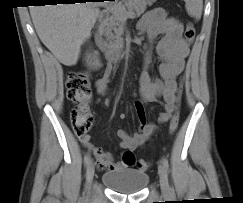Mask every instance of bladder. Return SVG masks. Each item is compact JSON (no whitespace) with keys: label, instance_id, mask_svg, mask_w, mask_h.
<instances>
[{"label":"bladder","instance_id":"31cf9c89","mask_svg":"<svg viewBox=\"0 0 243 203\" xmlns=\"http://www.w3.org/2000/svg\"><path fill=\"white\" fill-rule=\"evenodd\" d=\"M103 183L122 194H134L141 191L149 181V175L137 169L118 168L102 175Z\"/></svg>","mask_w":243,"mask_h":203}]
</instances>
